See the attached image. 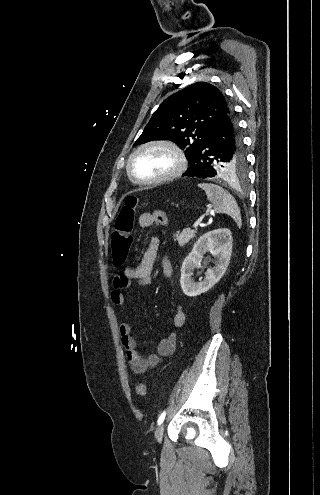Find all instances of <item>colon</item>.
<instances>
[{"label":"colon","mask_w":320,"mask_h":495,"mask_svg":"<svg viewBox=\"0 0 320 495\" xmlns=\"http://www.w3.org/2000/svg\"><path fill=\"white\" fill-rule=\"evenodd\" d=\"M138 200L134 196L126 198L125 203L116 219L115 228L111 235V255L116 266L123 265L129 256L132 244V225ZM136 393L144 396L147 393V385L140 382L136 385Z\"/></svg>","instance_id":"1"}]
</instances>
